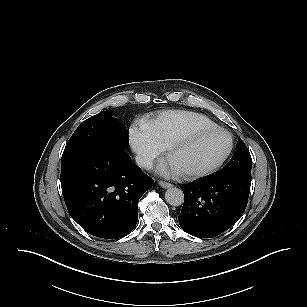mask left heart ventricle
Masks as SVG:
<instances>
[{"instance_id":"left-heart-ventricle-1","label":"left heart ventricle","mask_w":307,"mask_h":307,"mask_svg":"<svg viewBox=\"0 0 307 307\" xmlns=\"http://www.w3.org/2000/svg\"><path fill=\"white\" fill-rule=\"evenodd\" d=\"M229 138L213 133L168 156L179 173L200 170L216 163L227 151Z\"/></svg>"}]
</instances>
